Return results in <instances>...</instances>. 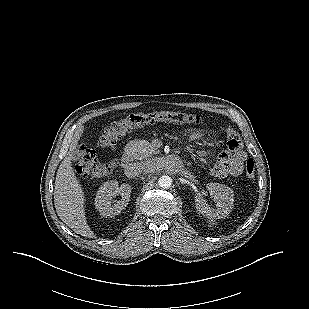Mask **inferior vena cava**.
I'll use <instances>...</instances> for the list:
<instances>
[{
	"mask_svg": "<svg viewBox=\"0 0 309 309\" xmlns=\"http://www.w3.org/2000/svg\"><path fill=\"white\" fill-rule=\"evenodd\" d=\"M147 166L142 163H134L125 170V175L129 178L138 177L141 173L147 172Z\"/></svg>",
	"mask_w": 309,
	"mask_h": 309,
	"instance_id": "1",
	"label": "inferior vena cava"
}]
</instances>
